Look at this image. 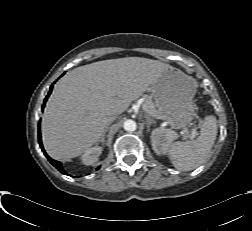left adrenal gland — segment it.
<instances>
[{
	"instance_id": "a2214340",
	"label": "left adrenal gland",
	"mask_w": 252,
	"mask_h": 231,
	"mask_svg": "<svg viewBox=\"0 0 252 231\" xmlns=\"http://www.w3.org/2000/svg\"><path fill=\"white\" fill-rule=\"evenodd\" d=\"M145 118H146V124H147V131L149 132L150 131V126L152 125L153 123V120L149 117V115H145Z\"/></svg>"
}]
</instances>
